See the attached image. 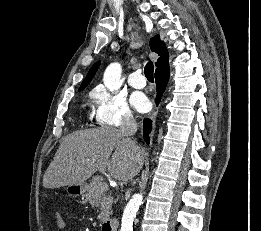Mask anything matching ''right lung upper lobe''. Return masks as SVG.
I'll use <instances>...</instances> for the list:
<instances>
[{"instance_id":"1","label":"right lung upper lobe","mask_w":261,"mask_h":231,"mask_svg":"<svg viewBox=\"0 0 261 231\" xmlns=\"http://www.w3.org/2000/svg\"><path fill=\"white\" fill-rule=\"evenodd\" d=\"M150 48L152 51L156 52L159 55V58L156 62V67H157L156 71L169 65L168 64V51L166 49L164 42L160 41L159 36H155L154 38H152L150 40ZM99 64H100V62L98 61L89 70L86 78L83 80V82L79 88V91L83 90L88 85V83H90V81L94 77V75L99 67Z\"/></svg>"}]
</instances>
